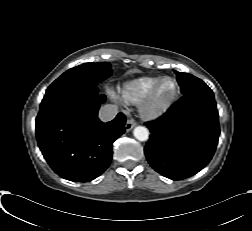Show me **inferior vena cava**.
Returning a JSON list of instances; mask_svg holds the SVG:
<instances>
[{
	"label": "inferior vena cava",
	"mask_w": 252,
	"mask_h": 231,
	"mask_svg": "<svg viewBox=\"0 0 252 231\" xmlns=\"http://www.w3.org/2000/svg\"><path fill=\"white\" fill-rule=\"evenodd\" d=\"M118 114V106L115 104H106L99 110V118L103 122L111 121Z\"/></svg>",
	"instance_id": "602c4592"
}]
</instances>
